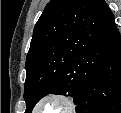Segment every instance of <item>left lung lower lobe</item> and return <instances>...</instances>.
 <instances>
[{
    "label": "left lung lower lobe",
    "instance_id": "obj_1",
    "mask_svg": "<svg viewBox=\"0 0 121 113\" xmlns=\"http://www.w3.org/2000/svg\"><path fill=\"white\" fill-rule=\"evenodd\" d=\"M77 113H121V36L83 87Z\"/></svg>",
    "mask_w": 121,
    "mask_h": 113
}]
</instances>
